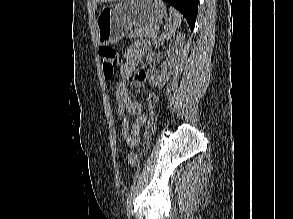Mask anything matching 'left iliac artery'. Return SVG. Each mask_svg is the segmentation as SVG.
<instances>
[{
  "mask_svg": "<svg viewBox=\"0 0 293 219\" xmlns=\"http://www.w3.org/2000/svg\"><path fill=\"white\" fill-rule=\"evenodd\" d=\"M139 174H140V169L137 170V172H136V175H135V177H134L133 183H132L131 188H130V193H129V195L132 194V192L136 189L137 182H138V178H139ZM129 195H128V196H129Z\"/></svg>",
  "mask_w": 293,
  "mask_h": 219,
  "instance_id": "left-iliac-artery-1",
  "label": "left iliac artery"
}]
</instances>
